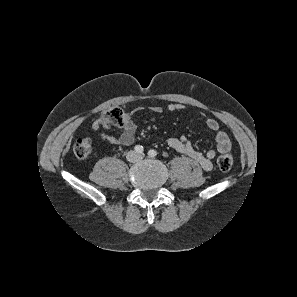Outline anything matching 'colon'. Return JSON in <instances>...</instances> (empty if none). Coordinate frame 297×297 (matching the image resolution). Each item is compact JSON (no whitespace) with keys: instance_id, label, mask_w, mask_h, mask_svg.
<instances>
[{"instance_id":"obj_1","label":"colon","mask_w":297,"mask_h":297,"mask_svg":"<svg viewBox=\"0 0 297 297\" xmlns=\"http://www.w3.org/2000/svg\"><path fill=\"white\" fill-rule=\"evenodd\" d=\"M125 113L119 107H112L104 111L100 117L103 123L114 126H122L125 121ZM92 151V142L89 138L78 139L74 146V155L79 159H84L90 155ZM218 167L221 171L227 172L232 168L233 157L229 152L222 153L217 160Z\"/></svg>"}]
</instances>
